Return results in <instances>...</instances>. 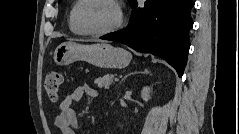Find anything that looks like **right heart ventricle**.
<instances>
[{
    "label": "right heart ventricle",
    "mask_w": 239,
    "mask_h": 134,
    "mask_svg": "<svg viewBox=\"0 0 239 134\" xmlns=\"http://www.w3.org/2000/svg\"><path fill=\"white\" fill-rule=\"evenodd\" d=\"M82 0H78V1H75L70 9V12H69V17H68V25H69V28L71 30V32H73L74 34H77V35H82L84 34L80 28L78 27L77 23H76V19H75V16H76V11L78 9V6L79 4L81 3Z\"/></svg>",
    "instance_id": "obj_1"
}]
</instances>
